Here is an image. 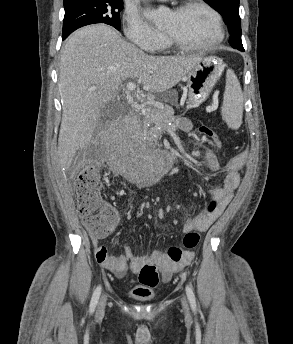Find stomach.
I'll use <instances>...</instances> for the list:
<instances>
[{"label": "stomach", "mask_w": 293, "mask_h": 344, "mask_svg": "<svg viewBox=\"0 0 293 344\" xmlns=\"http://www.w3.org/2000/svg\"><path fill=\"white\" fill-rule=\"evenodd\" d=\"M223 63L216 57H203L182 80L187 82L189 107H197L210 95L219 80Z\"/></svg>", "instance_id": "0dacf381"}]
</instances>
